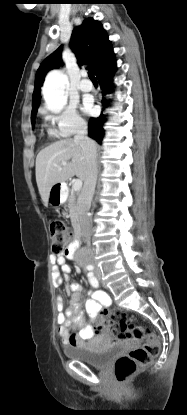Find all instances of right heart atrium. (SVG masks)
Here are the masks:
<instances>
[{"mask_svg": "<svg viewBox=\"0 0 187 415\" xmlns=\"http://www.w3.org/2000/svg\"><path fill=\"white\" fill-rule=\"evenodd\" d=\"M42 113L46 121L50 123L53 133L58 137H70L86 129V122L71 105L65 106L56 113H49L45 110Z\"/></svg>", "mask_w": 187, "mask_h": 415, "instance_id": "1", "label": "right heart atrium"}]
</instances>
